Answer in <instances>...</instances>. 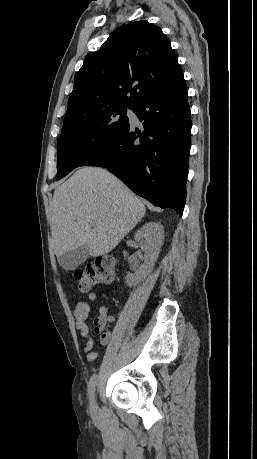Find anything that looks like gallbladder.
<instances>
[{
	"label": "gallbladder",
	"mask_w": 257,
	"mask_h": 459,
	"mask_svg": "<svg viewBox=\"0 0 257 459\" xmlns=\"http://www.w3.org/2000/svg\"><path fill=\"white\" fill-rule=\"evenodd\" d=\"M89 256V248L86 244L70 250L58 257V262L65 270H74Z\"/></svg>",
	"instance_id": "gallbladder-1"
}]
</instances>
